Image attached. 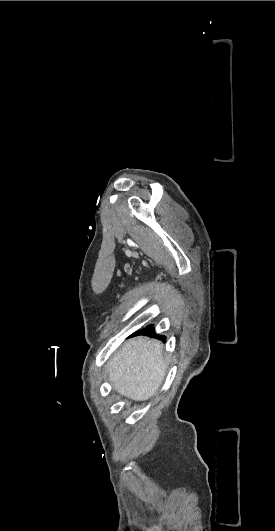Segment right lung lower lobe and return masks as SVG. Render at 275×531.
<instances>
[{"instance_id": "right-lung-lower-lobe-1", "label": "right lung lower lobe", "mask_w": 275, "mask_h": 531, "mask_svg": "<svg viewBox=\"0 0 275 531\" xmlns=\"http://www.w3.org/2000/svg\"><path fill=\"white\" fill-rule=\"evenodd\" d=\"M147 335V336H154L155 335V331L154 329L152 328V326H149L141 331H137L136 333H134L132 336L134 335ZM159 339H162V340H165V337L164 336H158Z\"/></svg>"}]
</instances>
